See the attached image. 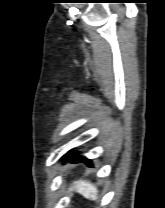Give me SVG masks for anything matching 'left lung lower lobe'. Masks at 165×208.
<instances>
[{
    "label": "left lung lower lobe",
    "instance_id": "left-lung-lower-lobe-1",
    "mask_svg": "<svg viewBox=\"0 0 165 208\" xmlns=\"http://www.w3.org/2000/svg\"><path fill=\"white\" fill-rule=\"evenodd\" d=\"M70 153H74V151L73 150L69 151L68 155L66 156V158L69 157ZM71 162L72 163L85 162L88 166H92L91 160H89V159H87V158H85L83 156L74 157V158H72Z\"/></svg>",
    "mask_w": 165,
    "mask_h": 208
}]
</instances>
